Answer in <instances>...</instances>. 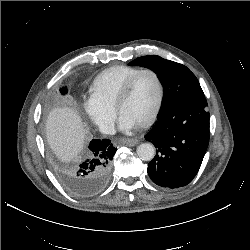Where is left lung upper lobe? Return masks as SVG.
Masks as SVG:
<instances>
[{
    "label": "left lung upper lobe",
    "instance_id": "1",
    "mask_svg": "<svg viewBox=\"0 0 250 250\" xmlns=\"http://www.w3.org/2000/svg\"><path fill=\"white\" fill-rule=\"evenodd\" d=\"M154 71L163 88L161 114L186 101L202 98L204 93L195 75L184 65L163 59L157 55L142 56L129 63Z\"/></svg>",
    "mask_w": 250,
    "mask_h": 250
}]
</instances>
